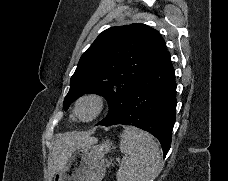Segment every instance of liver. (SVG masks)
I'll list each match as a JSON object with an SVG mask.
<instances>
[{
    "mask_svg": "<svg viewBox=\"0 0 228 181\" xmlns=\"http://www.w3.org/2000/svg\"><path fill=\"white\" fill-rule=\"evenodd\" d=\"M94 141L95 139L90 137L89 133H64V135H57L48 163L50 179L54 177L55 173H57L63 165H66L74 147L93 145Z\"/></svg>",
    "mask_w": 228,
    "mask_h": 181,
    "instance_id": "6515ba94",
    "label": "liver"
}]
</instances>
